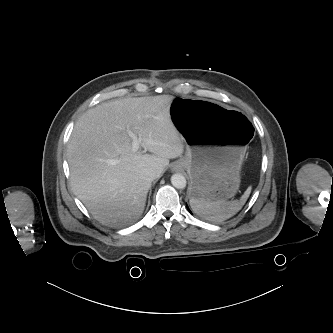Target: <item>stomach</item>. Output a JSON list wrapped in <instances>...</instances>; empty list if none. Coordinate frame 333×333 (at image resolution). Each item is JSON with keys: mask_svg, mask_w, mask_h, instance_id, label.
<instances>
[{"mask_svg": "<svg viewBox=\"0 0 333 333\" xmlns=\"http://www.w3.org/2000/svg\"><path fill=\"white\" fill-rule=\"evenodd\" d=\"M171 120L191 157L189 197L227 200L237 193L253 126L236 109L203 99L176 98Z\"/></svg>", "mask_w": 333, "mask_h": 333, "instance_id": "obj_1", "label": "stomach"}]
</instances>
